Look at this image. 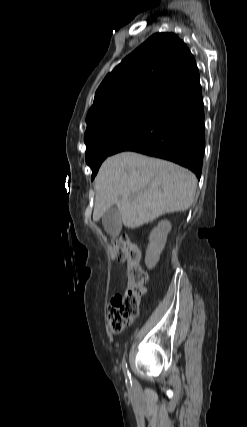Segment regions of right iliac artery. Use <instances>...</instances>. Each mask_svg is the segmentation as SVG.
Wrapping results in <instances>:
<instances>
[{
  "instance_id": "obj_1",
  "label": "right iliac artery",
  "mask_w": 247,
  "mask_h": 427,
  "mask_svg": "<svg viewBox=\"0 0 247 427\" xmlns=\"http://www.w3.org/2000/svg\"><path fill=\"white\" fill-rule=\"evenodd\" d=\"M122 369H123L124 374L126 376V380H130L131 381V376H130V373H129V370H128L125 358H123V361H122Z\"/></svg>"
}]
</instances>
